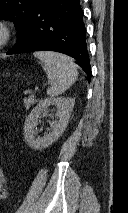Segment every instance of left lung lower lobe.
<instances>
[{"instance_id": "left-lung-lower-lobe-1", "label": "left lung lower lobe", "mask_w": 128, "mask_h": 213, "mask_svg": "<svg viewBox=\"0 0 128 213\" xmlns=\"http://www.w3.org/2000/svg\"><path fill=\"white\" fill-rule=\"evenodd\" d=\"M41 50L56 51L75 58L90 76L80 0H38L17 43L7 54Z\"/></svg>"}]
</instances>
